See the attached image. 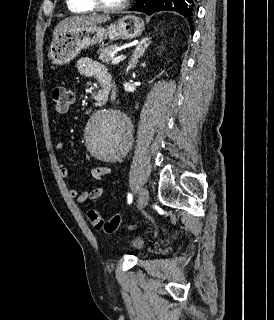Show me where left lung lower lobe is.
Here are the masks:
<instances>
[{"mask_svg": "<svg viewBox=\"0 0 274 320\" xmlns=\"http://www.w3.org/2000/svg\"><path fill=\"white\" fill-rule=\"evenodd\" d=\"M130 10L141 11L147 15L162 10L176 11L191 23L196 10V0H137Z\"/></svg>", "mask_w": 274, "mask_h": 320, "instance_id": "left-lung-lower-lobe-1", "label": "left lung lower lobe"}]
</instances>
